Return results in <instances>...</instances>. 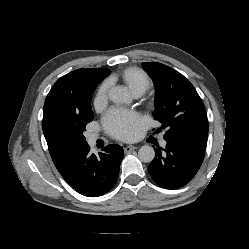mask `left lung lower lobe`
<instances>
[{
  "instance_id": "obj_1",
  "label": "left lung lower lobe",
  "mask_w": 249,
  "mask_h": 249,
  "mask_svg": "<svg viewBox=\"0 0 249 249\" xmlns=\"http://www.w3.org/2000/svg\"><path fill=\"white\" fill-rule=\"evenodd\" d=\"M155 148L156 157L148 167L152 179L166 189L186 185L199 170L205 152L191 146L167 142L164 152Z\"/></svg>"
}]
</instances>
